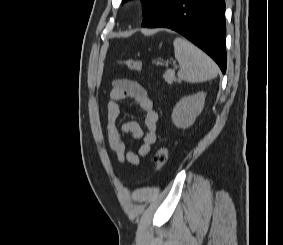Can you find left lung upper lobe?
I'll return each mask as SVG.
<instances>
[{
	"label": "left lung upper lobe",
	"instance_id": "5c2ea615",
	"mask_svg": "<svg viewBox=\"0 0 283 245\" xmlns=\"http://www.w3.org/2000/svg\"><path fill=\"white\" fill-rule=\"evenodd\" d=\"M144 12L142 26L145 27L157 16H159L173 0H142Z\"/></svg>",
	"mask_w": 283,
	"mask_h": 245
}]
</instances>
